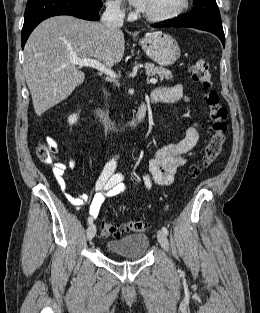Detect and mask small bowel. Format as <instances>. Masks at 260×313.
Here are the masks:
<instances>
[{
  "label": "small bowel",
  "mask_w": 260,
  "mask_h": 313,
  "mask_svg": "<svg viewBox=\"0 0 260 313\" xmlns=\"http://www.w3.org/2000/svg\"><path fill=\"white\" fill-rule=\"evenodd\" d=\"M152 102L175 103L178 101H189V97L183 93L181 85L171 87H159L150 95ZM199 133L196 125L188 128L183 139L177 143L159 147L154 157L148 162L147 171L144 175V185L149 189L153 183L168 186L174 182L177 169L186 163L185 155L197 144ZM121 156L118 155L107 162L103 167L95 184L96 194L93 198L86 194H75L67 192L66 180L64 178V166L60 165L56 172V181L62 190L65 191L67 200L76 208L81 209L85 204L90 203V218H96L108 197L117 196L127 190L125 175L116 173V167ZM76 165V158L72 157L69 163L70 168Z\"/></svg>",
  "instance_id": "c3829d8e"
}]
</instances>
